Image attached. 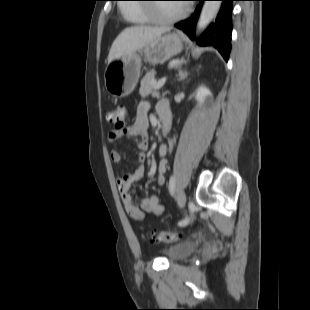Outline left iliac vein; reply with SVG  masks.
I'll return each mask as SVG.
<instances>
[{"label": "left iliac vein", "instance_id": "1", "mask_svg": "<svg viewBox=\"0 0 310 310\" xmlns=\"http://www.w3.org/2000/svg\"><path fill=\"white\" fill-rule=\"evenodd\" d=\"M177 201H178V206L180 208H183L185 206V203H186V195L183 191H181L179 194H178V198H177Z\"/></svg>", "mask_w": 310, "mask_h": 310}]
</instances>
